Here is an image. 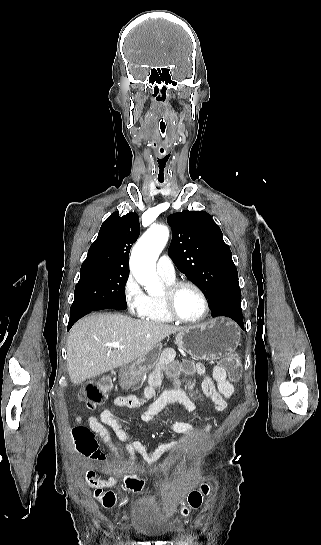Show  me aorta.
I'll use <instances>...</instances> for the list:
<instances>
[{"instance_id":"762f6f07","label":"aorta","mask_w":321,"mask_h":545,"mask_svg":"<svg viewBox=\"0 0 321 545\" xmlns=\"http://www.w3.org/2000/svg\"><path fill=\"white\" fill-rule=\"evenodd\" d=\"M169 238V230L164 225L151 226L135 244L130 268L136 280L148 293L162 289L156 274V261Z\"/></svg>"}]
</instances>
